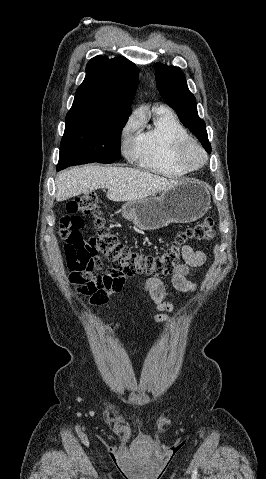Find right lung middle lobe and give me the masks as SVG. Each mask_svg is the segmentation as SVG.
Segmentation results:
<instances>
[{
  "mask_svg": "<svg viewBox=\"0 0 266 479\" xmlns=\"http://www.w3.org/2000/svg\"><path fill=\"white\" fill-rule=\"evenodd\" d=\"M128 118L70 116L60 145L57 167L112 163L120 157V136Z\"/></svg>",
  "mask_w": 266,
  "mask_h": 479,
  "instance_id": "obj_1",
  "label": "right lung middle lobe"
}]
</instances>
